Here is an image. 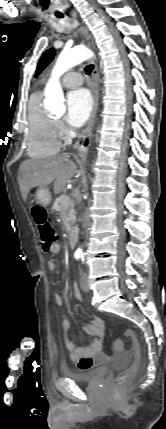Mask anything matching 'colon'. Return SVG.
<instances>
[{"label": "colon", "instance_id": "colon-1", "mask_svg": "<svg viewBox=\"0 0 166 429\" xmlns=\"http://www.w3.org/2000/svg\"><path fill=\"white\" fill-rule=\"evenodd\" d=\"M32 213L40 233L42 247L45 251H48L57 242V232L48 221L46 210L42 206H34ZM124 337L132 343L130 354L133 356V361L115 378L113 386L118 390L125 388L131 382L138 371L140 363V346L134 332L131 330L125 331ZM112 346L116 351L123 350V340L116 339Z\"/></svg>", "mask_w": 166, "mask_h": 429}]
</instances>
